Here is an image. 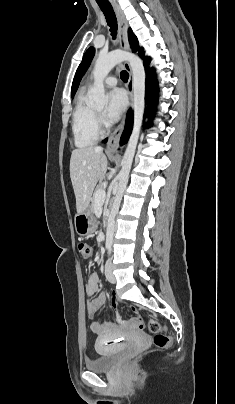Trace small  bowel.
<instances>
[{"label": "small bowel", "instance_id": "c3829d8e", "mask_svg": "<svg viewBox=\"0 0 235 404\" xmlns=\"http://www.w3.org/2000/svg\"><path fill=\"white\" fill-rule=\"evenodd\" d=\"M99 289V276L97 274H91L88 278L86 285V293L89 296L94 295ZM107 300L106 294L102 293L98 297L89 301L87 304V312L89 317H94L99 309L105 304ZM112 308L115 310L117 306V299L114 297L111 302ZM92 332L97 335V346L101 343L107 342L122 333L123 327L116 323L110 322H93L90 325ZM135 328V327H132Z\"/></svg>", "mask_w": 235, "mask_h": 404}]
</instances>
